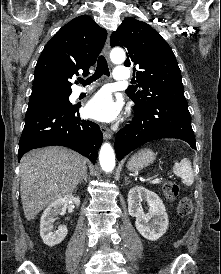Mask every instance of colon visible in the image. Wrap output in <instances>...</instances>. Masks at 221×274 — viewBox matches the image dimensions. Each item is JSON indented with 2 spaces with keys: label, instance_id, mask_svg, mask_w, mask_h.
<instances>
[{
  "label": "colon",
  "instance_id": "colon-1",
  "mask_svg": "<svg viewBox=\"0 0 221 274\" xmlns=\"http://www.w3.org/2000/svg\"><path fill=\"white\" fill-rule=\"evenodd\" d=\"M164 197L169 201H175L179 195V186L173 181H166L162 186ZM192 202L189 198L184 197L177 202V212L181 217H187L192 212Z\"/></svg>",
  "mask_w": 221,
  "mask_h": 274
}]
</instances>
